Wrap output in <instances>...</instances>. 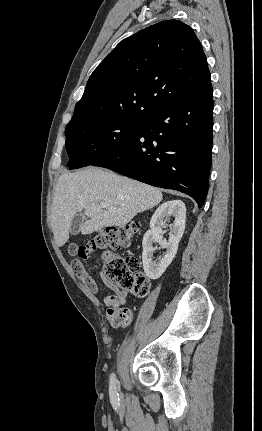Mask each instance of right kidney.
<instances>
[{
    "mask_svg": "<svg viewBox=\"0 0 262 431\" xmlns=\"http://www.w3.org/2000/svg\"><path fill=\"white\" fill-rule=\"evenodd\" d=\"M172 216L174 218L173 226L170 228L169 241L163 240L162 228L166 220ZM186 221V207L181 200H171L160 205L150 220V230H148L142 241L143 269L146 275L151 279L159 278L171 264L174 259L178 244L183 236ZM159 243L162 248H166L163 258L153 261L155 251L153 243Z\"/></svg>",
    "mask_w": 262,
    "mask_h": 431,
    "instance_id": "ca27d5eb",
    "label": "right kidney"
}]
</instances>
